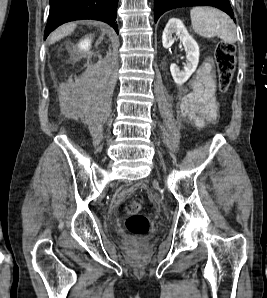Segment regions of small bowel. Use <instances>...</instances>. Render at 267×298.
Listing matches in <instances>:
<instances>
[{"instance_id": "c3829d8e", "label": "small bowel", "mask_w": 267, "mask_h": 298, "mask_svg": "<svg viewBox=\"0 0 267 298\" xmlns=\"http://www.w3.org/2000/svg\"><path fill=\"white\" fill-rule=\"evenodd\" d=\"M181 116L198 128L214 124L218 119V106L215 99L214 68L207 59L188 83V91L180 98Z\"/></svg>"}]
</instances>
